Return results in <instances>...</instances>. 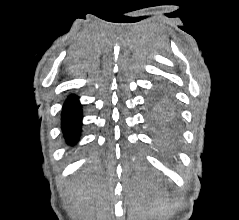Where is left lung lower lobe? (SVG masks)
Returning <instances> with one entry per match:
<instances>
[{"instance_id":"0a47b994","label":"left lung lower lobe","mask_w":239,"mask_h":220,"mask_svg":"<svg viewBox=\"0 0 239 220\" xmlns=\"http://www.w3.org/2000/svg\"><path fill=\"white\" fill-rule=\"evenodd\" d=\"M160 134L163 144L168 145L174 136V124L170 121H167L164 126L160 127Z\"/></svg>"}]
</instances>
